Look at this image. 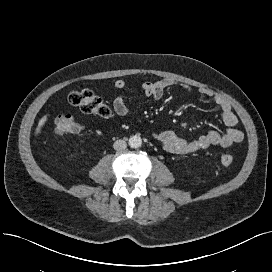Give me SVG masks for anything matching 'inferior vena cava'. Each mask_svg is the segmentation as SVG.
Segmentation results:
<instances>
[{"label":"inferior vena cava","instance_id":"1","mask_svg":"<svg viewBox=\"0 0 272 272\" xmlns=\"http://www.w3.org/2000/svg\"><path fill=\"white\" fill-rule=\"evenodd\" d=\"M114 149L117 151L124 150L127 147V143L124 140H116L113 145Z\"/></svg>","mask_w":272,"mask_h":272}]
</instances>
